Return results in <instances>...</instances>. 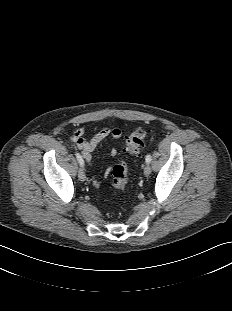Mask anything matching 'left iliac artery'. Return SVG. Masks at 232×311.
<instances>
[{
    "instance_id": "obj_1",
    "label": "left iliac artery",
    "mask_w": 232,
    "mask_h": 311,
    "mask_svg": "<svg viewBox=\"0 0 232 311\" xmlns=\"http://www.w3.org/2000/svg\"><path fill=\"white\" fill-rule=\"evenodd\" d=\"M145 160H146V163L149 164V163L151 162V160H152V159H151V155L148 154V155L146 156V159H145Z\"/></svg>"
}]
</instances>
